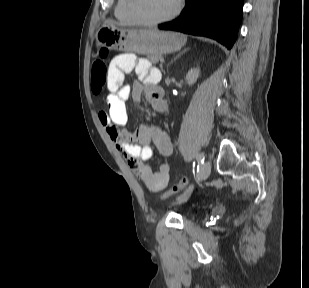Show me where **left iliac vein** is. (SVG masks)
Listing matches in <instances>:
<instances>
[{
    "label": "left iliac vein",
    "instance_id": "4c4485c4",
    "mask_svg": "<svg viewBox=\"0 0 309 288\" xmlns=\"http://www.w3.org/2000/svg\"><path fill=\"white\" fill-rule=\"evenodd\" d=\"M211 171V164L209 161H206L205 163H203V165L201 166V170H200V178L202 180H206L210 174ZM191 191H186L181 197H180V201H185L186 199H188V197L190 196Z\"/></svg>",
    "mask_w": 309,
    "mask_h": 288
}]
</instances>
